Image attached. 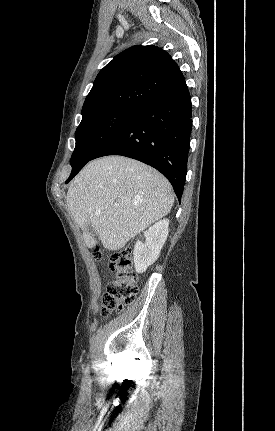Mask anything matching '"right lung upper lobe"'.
<instances>
[{
	"label": "right lung upper lobe",
	"mask_w": 275,
	"mask_h": 431,
	"mask_svg": "<svg viewBox=\"0 0 275 431\" xmlns=\"http://www.w3.org/2000/svg\"><path fill=\"white\" fill-rule=\"evenodd\" d=\"M185 80L163 49L136 45L114 57L97 75L82 116L112 109H138Z\"/></svg>",
	"instance_id": "right-lung-upper-lobe-1"
}]
</instances>
